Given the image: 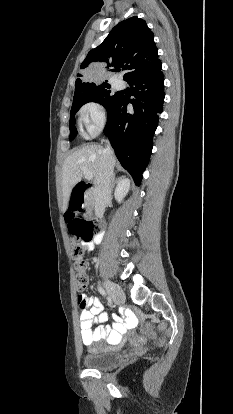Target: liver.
Returning <instances> with one entry per match:
<instances>
[{
    "label": "liver",
    "instance_id": "6515ba94",
    "mask_svg": "<svg viewBox=\"0 0 233 414\" xmlns=\"http://www.w3.org/2000/svg\"><path fill=\"white\" fill-rule=\"evenodd\" d=\"M104 149L100 145H86L69 155L62 168L63 209L67 210L72 189L85 173L96 177L102 163Z\"/></svg>",
    "mask_w": 233,
    "mask_h": 414
}]
</instances>
